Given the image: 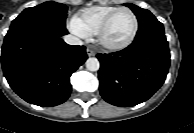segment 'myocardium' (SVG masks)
Here are the masks:
<instances>
[{
    "instance_id": "f54148a6",
    "label": "myocardium",
    "mask_w": 194,
    "mask_h": 133,
    "mask_svg": "<svg viewBox=\"0 0 194 133\" xmlns=\"http://www.w3.org/2000/svg\"><path fill=\"white\" fill-rule=\"evenodd\" d=\"M122 11H126V12H129L133 18H134V28H133V31L130 35V37L125 40L124 42L122 43H118V44H114V43H109L108 41H106L105 39V35H106V32L108 31L112 21L114 20V18L116 17L117 14H119L120 12ZM138 26H139V22H138V18L136 16V14L129 8H120V9H117L116 11H114L106 20L105 22L102 24V26L99 28V36L102 38V40L104 41V43L108 46V47H111V48H122V47H125L127 46L128 44H130L133 39L135 38L136 36V33L138 31Z\"/></svg>"
}]
</instances>
